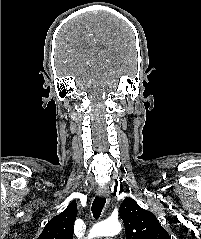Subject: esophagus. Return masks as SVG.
I'll return each instance as SVG.
<instances>
[{"mask_svg": "<svg viewBox=\"0 0 201 239\" xmlns=\"http://www.w3.org/2000/svg\"><path fill=\"white\" fill-rule=\"evenodd\" d=\"M96 193L99 197H104L108 203L110 202L111 195L110 191L107 188H98Z\"/></svg>", "mask_w": 201, "mask_h": 239, "instance_id": "obj_1", "label": "esophagus"}]
</instances>
